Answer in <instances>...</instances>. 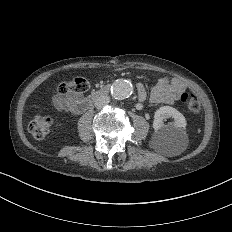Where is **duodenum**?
Masks as SVG:
<instances>
[{
	"mask_svg": "<svg viewBox=\"0 0 232 232\" xmlns=\"http://www.w3.org/2000/svg\"><path fill=\"white\" fill-rule=\"evenodd\" d=\"M109 92H110V86H108V85L95 90L88 97L82 99L76 105V107L74 108V113L79 114V113L86 111L87 109H89L92 106V104L97 99H99L100 97L108 95Z\"/></svg>",
	"mask_w": 232,
	"mask_h": 232,
	"instance_id": "duodenum-1",
	"label": "duodenum"
}]
</instances>
